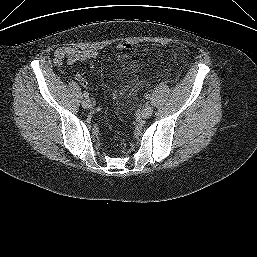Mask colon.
<instances>
[{
	"label": "colon",
	"mask_w": 257,
	"mask_h": 257,
	"mask_svg": "<svg viewBox=\"0 0 257 257\" xmlns=\"http://www.w3.org/2000/svg\"><path fill=\"white\" fill-rule=\"evenodd\" d=\"M116 48L118 50H130L132 48V44L129 41H120L117 43Z\"/></svg>",
	"instance_id": "5ec220e1"
}]
</instances>
